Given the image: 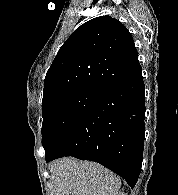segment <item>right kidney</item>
<instances>
[{"label":"right kidney","instance_id":"1","mask_svg":"<svg viewBox=\"0 0 178 195\" xmlns=\"http://www.w3.org/2000/svg\"><path fill=\"white\" fill-rule=\"evenodd\" d=\"M114 195H127V194L124 192H116Z\"/></svg>","mask_w":178,"mask_h":195}]
</instances>
